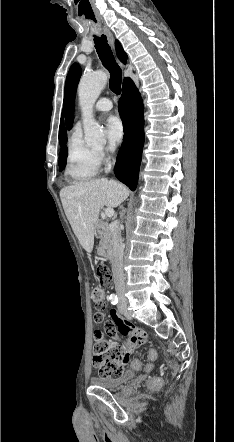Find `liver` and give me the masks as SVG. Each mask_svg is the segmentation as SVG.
Here are the masks:
<instances>
[{
  "label": "liver",
  "instance_id": "6515ba94",
  "mask_svg": "<svg viewBox=\"0 0 234 442\" xmlns=\"http://www.w3.org/2000/svg\"><path fill=\"white\" fill-rule=\"evenodd\" d=\"M129 190L115 180L105 178L78 182L60 191L66 217L81 246L90 253L94 246L95 226L104 206H119Z\"/></svg>",
  "mask_w": 234,
  "mask_h": 442
}]
</instances>
